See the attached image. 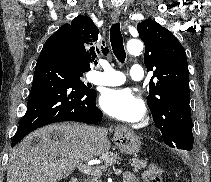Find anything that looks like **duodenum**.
<instances>
[{"instance_id":"duodenum-1","label":"duodenum","mask_w":211,"mask_h":182,"mask_svg":"<svg viewBox=\"0 0 211 182\" xmlns=\"http://www.w3.org/2000/svg\"><path fill=\"white\" fill-rule=\"evenodd\" d=\"M70 182H79V180H78L77 178H72V179L70 180Z\"/></svg>"}]
</instances>
